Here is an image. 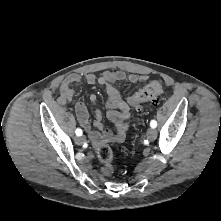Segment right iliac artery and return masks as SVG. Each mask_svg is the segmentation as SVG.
Wrapping results in <instances>:
<instances>
[{"label":"right iliac artery","instance_id":"82829eb1","mask_svg":"<svg viewBox=\"0 0 221 221\" xmlns=\"http://www.w3.org/2000/svg\"><path fill=\"white\" fill-rule=\"evenodd\" d=\"M77 136H81L82 135V130L80 128H77L75 131Z\"/></svg>","mask_w":221,"mask_h":221}]
</instances>
